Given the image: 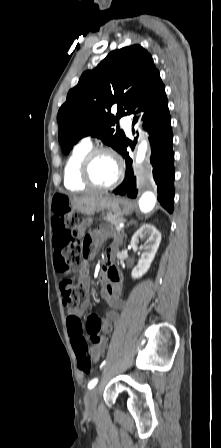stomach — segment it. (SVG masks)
I'll return each instance as SVG.
<instances>
[{"mask_svg":"<svg viewBox=\"0 0 221 448\" xmlns=\"http://www.w3.org/2000/svg\"><path fill=\"white\" fill-rule=\"evenodd\" d=\"M74 207L84 215H93L97 210H106L117 217H122L133 212V203L123 197L111 196L103 193L85 202H75Z\"/></svg>","mask_w":221,"mask_h":448,"instance_id":"obj_1","label":"stomach"}]
</instances>
